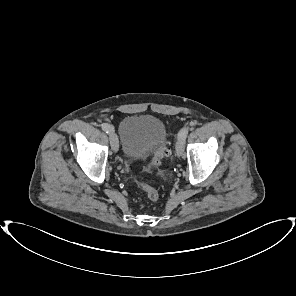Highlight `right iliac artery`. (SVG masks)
<instances>
[{
	"label": "right iliac artery",
	"instance_id": "1",
	"mask_svg": "<svg viewBox=\"0 0 296 296\" xmlns=\"http://www.w3.org/2000/svg\"><path fill=\"white\" fill-rule=\"evenodd\" d=\"M101 127L106 133H110L111 131H113V128L107 123H103Z\"/></svg>",
	"mask_w": 296,
	"mask_h": 296
}]
</instances>
